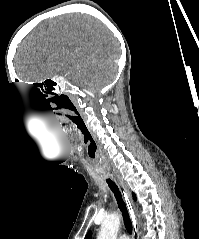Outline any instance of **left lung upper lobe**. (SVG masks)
I'll return each mask as SVG.
<instances>
[{
    "label": "left lung upper lobe",
    "mask_w": 199,
    "mask_h": 239,
    "mask_svg": "<svg viewBox=\"0 0 199 239\" xmlns=\"http://www.w3.org/2000/svg\"><path fill=\"white\" fill-rule=\"evenodd\" d=\"M133 198H134V200H136V195L133 193Z\"/></svg>",
    "instance_id": "obj_1"
}]
</instances>
